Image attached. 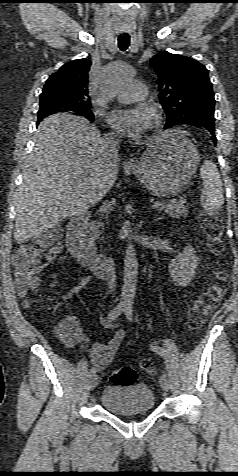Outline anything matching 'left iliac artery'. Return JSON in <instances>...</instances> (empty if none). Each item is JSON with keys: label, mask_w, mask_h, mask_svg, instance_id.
Returning a JSON list of instances; mask_svg holds the SVG:
<instances>
[{"label": "left iliac artery", "mask_w": 238, "mask_h": 476, "mask_svg": "<svg viewBox=\"0 0 238 476\" xmlns=\"http://www.w3.org/2000/svg\"><path fill=\"white\" fill-rule=\"evenodd\" d=\"M124 312H125L126 317L130 321H132V319H133V307H132L131 304H128V305L125 306ZM151 349L154 352H156L157 354H159L160 356L165 357V355H166L165 350L163 348L159 347V346H151Z\"/></svg>", "instance_id": "44dca946"}]
</instances>
